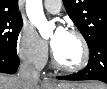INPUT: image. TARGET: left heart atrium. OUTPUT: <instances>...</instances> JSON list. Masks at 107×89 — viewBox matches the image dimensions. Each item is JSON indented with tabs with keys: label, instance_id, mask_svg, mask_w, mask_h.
Segmentation results:
<instances>
[{
	"label": "left heart atrium",
	"instance_id": "39dd6f15",
	"mask_svg": "<svg viewBox=\"0 0 107 89\" xmlns=\"http://www.w3.org/2000/svg\"><path fill=\"white\" fill-rule=\"evenodd\" d=\"M66 33V31L64 30V28L62 27H58L55 31V35L54 37L51 39V46L53 47V49H55L57 47V45L59 44L61 38L63 37V35Z\"/></svg>",
	"mask_w": 107,
	"mask_h": 89
}]
</instances>
